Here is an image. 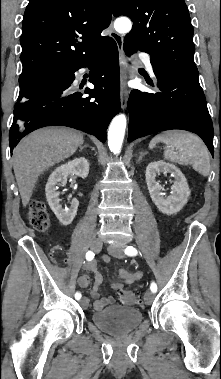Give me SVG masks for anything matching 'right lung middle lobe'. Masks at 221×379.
Masks as SVG:
<instances>
[{
	"label": "right lung middle lobe",
	"instance_id": "right-lung-middle-lobe-1",
	"mask_svg": "<svg viewBox=\"0 0 221 379\" xmlns=\"http://www.w3.org/2000/svg\"><path fill=\"white\" fill-rule=\"evenodd\" d=\"M27 80H29V79H27ZM27 80L19 81V83H20V94H19V98L23 97L24 82L27 81Z\"/></svg>",
	"mask_w": 221,
	"mask_h": 379
}]
</instances>
